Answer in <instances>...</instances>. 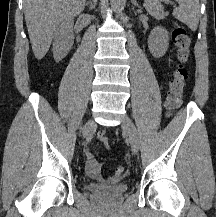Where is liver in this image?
I'll list each match as a JSON object with an SVG mask.
<instances>
[{"mask_svg":"<svg viewBox=\"0 0 216 217\" xmlns=\"http://www.w3.org/2000/svg\"><path fill=\"white\" fill-rule=\"evenodd\" d=\"M86 0H24L25 21L35 57L48 52L56 27L80 14Z\"/></svg>","mask_w":216,"mask_h":217,"instance_id":"1","label":"liver"}]
</instances>
